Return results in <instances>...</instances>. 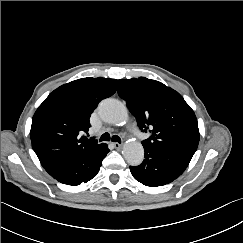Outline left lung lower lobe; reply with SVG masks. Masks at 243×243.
Masks as SVG:
<instances>
[{
  "label": "left lung lower lobe",
  "instance_id": "1",
  "mask_svg": "<svg viewBox=\"0 0 243 243\" xmlns=\"http://www.w3.org/2000/svg\"><path fill=\"white\" fill-rule=\"evenodd\" d=\"M143 147L145 159L139 166H130V171L138 182L150 187L162 186L178 178L194 155L185 150Z\"/></svg>",
  "mask_w": 243,
  "mask_h": 243
}]
</instances>
